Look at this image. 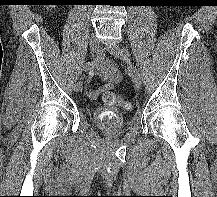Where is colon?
I'll list each match as a JSON object with an SVG mask.
<instances>
[{
  "mask_svg": "<svg viewBox=\"0 0 217 197\" xmlns=\"http://www.w3.org/2000/svg\"><path fill=\"white\" fill-rule=\"evenodd\" d=\"M103 100L108 106H120L124 110H129L131 108V104L128 101L120 98L111 91L103 92Z\"/></svg>",
  "mask_w": 217,
  "mask_h": 197,
  "instance_id": "1",
  "label": "colon"
}]
</instances>
